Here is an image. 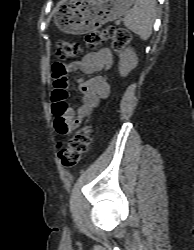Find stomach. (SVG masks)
<instances>
[{"label":"stomach","mask_w":194,"mask_h":250,"mask_svg":"<svg viewBox=\"0 0 194 250\" xmlns=\"http://www.w3.org/2000/svg\"><path fill=\"white\" fill-rule=\"evenodd\" d=\"M135 0H62L56 7V26L70 34H85L120 18Z\"/></svg>","instance_id":"1"}]
</instances>
